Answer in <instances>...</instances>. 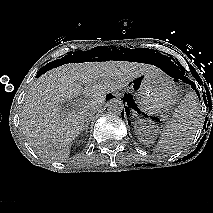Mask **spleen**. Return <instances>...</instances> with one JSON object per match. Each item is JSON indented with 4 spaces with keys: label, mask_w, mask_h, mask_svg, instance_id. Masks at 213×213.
Segmentation results:
<instances>
[{
    "label": "spleen",
    "mask_w": 213,
    "mask_h": 213,
    "mask_svg": "<svg viewBox=\"0 0 213 213\" xmlns=\"http://www.w3.org/2000/svg\"><path fill=\"white\" fill-rule=\"evenodd\" d=\"M201 126V108L195 92L190 91L175 109L172 119L161 131L157 151H177L195 136Z\"/></svg>",
    "instance_id": "1"
}]
</instances>
